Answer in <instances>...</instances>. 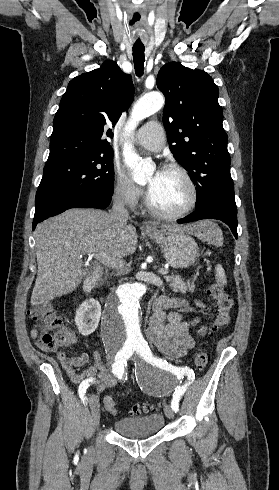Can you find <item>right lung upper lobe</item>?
<instances>
[{
	"mask_svg": "<svg viewBox=\"0 0 279 490\" xmlns=\"http://www.w3.org/2000/svg\"><path fill=\"white\" fill-rule=\"evenodd\" d=\"M133 95L131 76L115 61L72 79L54 117L47 162L112 149L103 139L112 135L111 130L105 132L104 126L116 124Z\"/></svg>",
	"mask_w": 279,
	"mask_h": 490,
	"instance_id": "cb5924a9",
	"label": "right lung upper lobe"
}]
</instances>
